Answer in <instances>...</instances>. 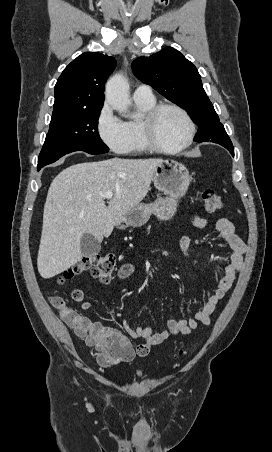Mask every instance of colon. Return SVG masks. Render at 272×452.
Segmentation results:
<instances>
[{"instance_id":"obj_1","label":"colon","mask_w":272,"mask_h":452,"mask_svg":"<svg viewBox=\"0 0 272 452\" xmlns=\"http://www.w3.org/2000/svg\"><path fill=\"white\" fill-rule=\"evenodd\" d=\"M204 210L209 214H214L222 207V199L213 189H206L201 195ZM115 268V258L110 254H93L86 256L76 265L65 271L58 278V283H63L67 278L73 277L85 270H90L93 278L99 280L102 284L109 282L110 277ZM49 302L60 314H69L71 308L66 304L65 300L51 293ZM99 349L98 362L103 366L119 365L129 360L131 356L130 348L124 345L119 339L111 336H103L99 338L97 343ZM139 353L148 351L144 346L137 348ZM183 352H180L182 355Z\"/></svg>"}]
</instances>
